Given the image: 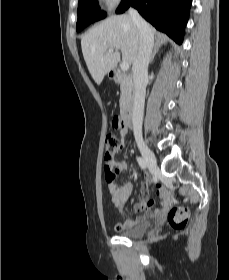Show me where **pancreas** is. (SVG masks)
<instances>
[{"label":"pancreas","mask_w":229,"mask_h":280,"mask_svg":"<svg viewBox=\"0 0 229 280\" xmlns=\"http://www.w3.org/2000/svg\"><path fill=\"white\" fill-rule=\"evenodd\" d=\"M120 108L123 109L125 104L131 99L132 97V82L131 80L123 76L120 82Z\"/></svg>","instance_id":"obj_1"}]
</instances>
